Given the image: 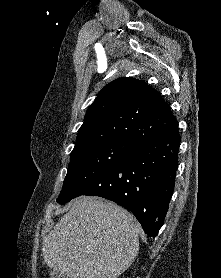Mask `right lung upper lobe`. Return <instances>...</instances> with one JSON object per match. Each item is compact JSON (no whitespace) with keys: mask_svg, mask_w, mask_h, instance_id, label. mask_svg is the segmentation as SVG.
Wrapping results in <instances>:
<instances>
[{"mask_svg":"<svg viewBox=\"0 0 221 278\" xmlns=\"http://www.w3.org/2000/svg\"><path fill=\"white\" fill-rule=\"evenodd\" d=\"M177 128L176 118L157 90L142 80L123 77L99 92L86 112L75 147L92 140L135 143Z\"/></svg>","mask_w":221,"mask_h":278,"instance_id":"cb5924a9","label":"right lung upper lobe"}]
</instances>
